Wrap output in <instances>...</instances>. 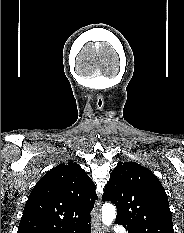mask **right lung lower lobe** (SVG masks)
<instances>
[{
	"label": "right lung lower lobe",
	"instance_id": "98d812e1",
	"mask_svg": "<svg viewBox=\"0 0 184 233\" xmlns=\"http://www.w3.org/2000/svg\"><path fill=\"white\" fill-rule=\"evenodd\" d=\"M91 219L86 220L80 224L67 228L61 233H90L91 232Z\"/></svg>",
	"mask_w": 184,
	"mask_h": 233
}]
</instances>
